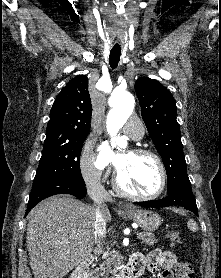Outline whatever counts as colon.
I'll return each instance as SVG.
<instances>
[{"instance_id": "obj_1", "label": "colon", "mask_w": 221, "mask_h": 278, "mask_svg": "<svg viewBox=\"0 0 221 278\" xmlns=\"http://www.w3.org/2000/svg\"><path fill=\"white\" fill-rule=\"evenodd\" d=\"M168 239L174 245H182V238L178 231L171 230L167 234ZM178 278H193L194 273L190 265H181L179 267Z\"/></svg>"}]
</instances>
